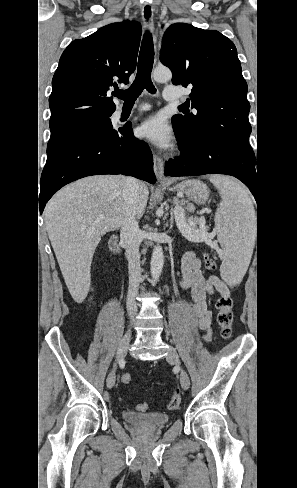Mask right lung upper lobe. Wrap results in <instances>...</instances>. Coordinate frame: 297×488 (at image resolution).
<instances>
[{
	"label": "right lung upper lobe",
	"mask_w": 297,
	"mask_h": 488,
	"mask_svg": "<svg viewBox=\"0 0 297 488\" xmlns=\"http://www.w3.org/2000/svg\"><path fill=\"white\" fill-rule=\"evenodd\" d=\"M140 36V24L125 21L69 44L52 80L51 133L112 115L116 106L111 91L129 83L136 69Z\"/></svg>",
	"instance_id": "1"
}]
</instances>
